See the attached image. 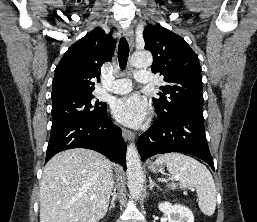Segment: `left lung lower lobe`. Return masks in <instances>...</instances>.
Segmentation results:
<instances>
[{
    "instance_id": "obj_1",
    "label": "left lung lower lobe",
    "mask_w": 257,
    "mask_h": 222,
    "mask_svg": "<svg viewBox=\"0 0 257 222\" xmlns=\"http://www.w3.org/2000/svg\"><path fill=\"white\" fill-rule=\"evenodd\" d=\"M157 114V120L139 137L137 142V148L143 161L156 154L183 152L202 159L214 170L202 115L166 116L159 112Z\"/></svg>"
}]
</instances>
